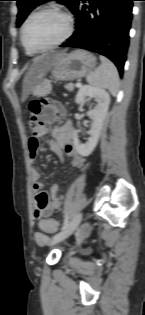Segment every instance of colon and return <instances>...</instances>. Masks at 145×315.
Masks as SVG:
<instances>
[{"label":"colon","mask_w":145,"mask_h":315,"mask_svg":"<svg viewBox=\"0 0 145 315\" xmlns=\"http://www.w3.org/2000/svg\"><path fill=\"white\" fill-rule=\"evenodd\" d=\"M30 118L28 121L29 128L32 131L52 123L62 114V108L47 100H34L30 103ZM59 223L53 219H45L41 222V228L49 233L57 231Z\"/></svg>","instance_id":"5ec220e1"}]
</instances>
